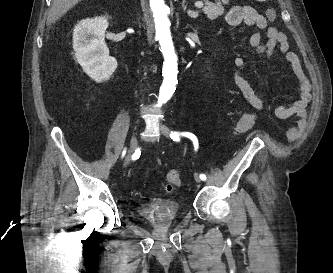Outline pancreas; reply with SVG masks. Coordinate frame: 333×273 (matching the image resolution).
Segmentation results:
<instances>
[{
    "instance_id": "cf45deb5",
    "label": "pancreas",
    "mask_w": 333,
    "mask_h": 273,
    "mask_svg": "<svg viewBox=\"0 0 333 273\" xmlns=\"http://www.w3.org/2000/svg\"><path fill=\"white\" fill-rule=\"evenodd\" d=\"M223 4H228V0H222ZM222 3H211L206 1L205 4L206 6L203 8L204 14L207 15V17L210 20H215L218 18V16L223 15L224 13V7Z\"/></svg>"
}]
</instances>
